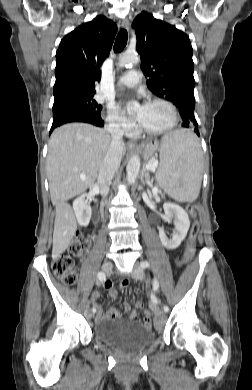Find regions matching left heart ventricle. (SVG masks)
<instances>
[{
    "label": "left heart ventricle",
    "instance_id": "1",
    "mask_svg": "<svg viewBox=\"0 0 252 390\" xmlns=\"http://www.w3.org/2000/svg\"><path fill=\"white\" fill-rule=\"evenodd\" d=\"M138 123L147 130H160L170 125L172 113L162 103L145 104L136 111Z\"/></svg>",
    "mask_w": 252,
    "mask_h": 390
}]
</instances>
